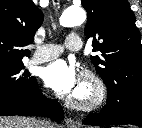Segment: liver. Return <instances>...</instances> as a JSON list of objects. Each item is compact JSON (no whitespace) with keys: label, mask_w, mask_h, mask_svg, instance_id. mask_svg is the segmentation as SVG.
Instances as JSON below:
<instances>
[{"label":"liver","mask_w":142,"mask_h":128,"mask_svg":"<svg viewBox=\"0 0 142 128\" xmlns=\"http://www.w3.org/2000/svg\"><path fill=\"white\" fill-rule=\"evenodd\" d=\"M37 123L34 117H0V128H37Z\"/></svg>","instance_id":"obj_1"}]
</instances>
